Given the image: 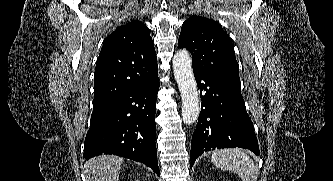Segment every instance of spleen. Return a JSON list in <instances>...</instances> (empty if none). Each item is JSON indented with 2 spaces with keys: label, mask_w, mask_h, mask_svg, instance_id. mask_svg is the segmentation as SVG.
Segmentation results:
<instances>
[{
  "label": "spleen",
  "mask_w": 333,
  "mask_h": 181,
  "mask_svg": "<svg viewBox=\"0 0 333 181\" xmlns=\"http://www.w3.org/2000/svg\"><path fill=\"white\" fill-rule=\"evenodd\" d=\"M211 162L222 170H230L240 176L242 181H254L256 166L252 158L244 151L229 148L214 151Z\"/></svg>",
  "instance_id": "obj_1"
}]
</instances>
